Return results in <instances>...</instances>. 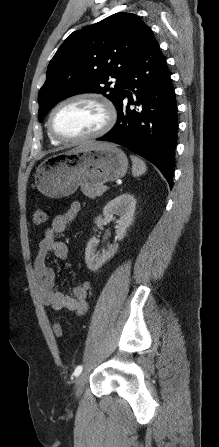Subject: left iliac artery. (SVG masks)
<instances>
[{
	"label": "left iliac artery",
	"mask_w": 219,
	"mask_h": 447,
	"mask_svg": "<svg viewBox=\"0 0 219 447\" xmlns=\"http://www.w3.org/2000/svg\"><path fill=\"white\" fill-rule=\"evenodd\" d=\"M83 367L81 365L77 366L75 371H74V375L77 377L80 375V373L82 372Z\"/></svg>",
	"instance_id": "left-iliac-artery-1"
}]
</instances>
